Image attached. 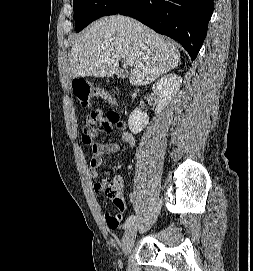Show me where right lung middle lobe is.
Returning <instances> with one entry per match:
<instances>
[{
	"label": "right lung middle lobe",
	"mask_w": 253,
	"mask_h": 271,
	"mask_svg": "<svg viewBox=\"0 0 253 271\" xmlns=\"http://www.w3.org/2000/svg\"><path fill=\"white\" fill-rule=\"evenodd\" d=\"M124 2L125 0H73L76 32L102 16L116 14Z\"/></svg>",
	"instance_id": "dd1d6c3e"
}]
</instances>
